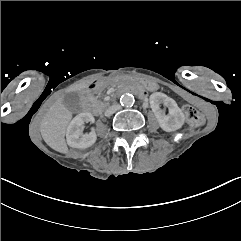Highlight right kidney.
<instances>
[{"label":"right kidney","mask_w":241,"mask_h":241,"mask_svg":"<svg viewBox=\"0 0 241 241\" xmlns=\"http://www.w3.org/2000/svg\"><path fill=\"white\" fill-rule=\"evenodd\" d=\"M88 122H94V117L91 113H81L77 115L67 128L66 138L67 144L74 149H87L93 146L97 140V134L91 132L80 138V128Z\"/></svg>","instance_id":"right-kidney-1"}]
</instances>
